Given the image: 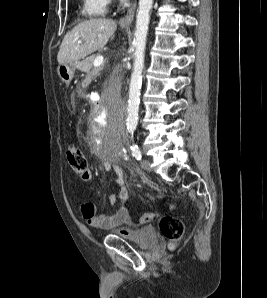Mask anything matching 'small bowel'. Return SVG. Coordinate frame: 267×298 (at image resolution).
<instances>
[{
    "mask_svg": "<svg viewBox=\"0 0 267 298\" xmlns=\"http://www.w3.org/2000/svg\"><path fill=\"white\" fill-rule=\"evenodd\" d=\"M108 168H110V165L108 166ZM115 171L117 173L116 183L119 191L117 193H111L108 196L107 204L113 206L118 200H120L123 203V206H121L116 213L107 215L104 213H98L97 206L93 202H86L82 204L80 207L82 218L91 227L102 230H111L123 225L128 218V210L124 206V203L128 199V189L126 186L125 178L119 167H116ZM91 178L92 175L89 171L88 177L82 180L88 182L91 180ZM119 232L123 235H129L131 233V229L122 227L119 229Z\"/></svg>",
    "mask_w": 267,
    "mask_h": 298,
    "instance_id": "c3829d8e",
    "label": "small bowel"
}]
</instances>
